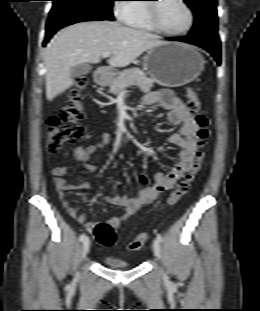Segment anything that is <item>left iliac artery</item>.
I'll return each mask as SVG.
<instances>
[{
  "label": "left iliac artery",
  "instance_id": "1",
  "mask_svg": "<svg viewBox=\"0 0 260 311\" xmlns=\"http://www.w3.org/2000/svg\"><path fill=\"white\" fill-rule=\"evenodd\" d=\"M157 239H158L160 242H162V241H163L162 235H161V234H157Z\"/></svg>",
  "mask_w": 260,
  "mask_h": 311
}]
</instances>
